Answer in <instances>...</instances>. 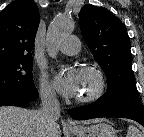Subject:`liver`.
Wrapping results in <instances>:
<instances>
[{
    "label": "liver",
    "mask_w": 144,
    "mask_h": 137,
    "mask_svg": "<svg viewBox=\"0 0 144 137\" xmlns=\"http://www.w3.org/2000/svg\"><path fill=\"white\" fill-rule=\"evenodd\" d=\"M0 137H61V130L58 124L46 129L40 110L4 106L0 107Z\"/></svg>",
    "instance_id": "obj_1"
}]
</instances>
